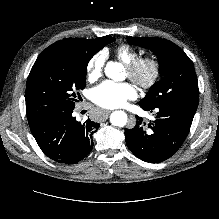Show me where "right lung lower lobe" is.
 I'll list each match as a JSON object with an SVG mask.
<instances>
[{"label":"right lung lower lobe","instance_id":"1","mask_svg":"<svg viewBox=\"0 0 219 219\" xmlns=\"http://www.w3.org/2000/svg\"><path fill=\"white\" fill-rule=\"evenodd\" d=\"M73 109L49 115L29 123L31 132L41 150L50 159L72 164L85 158L93 149L92 135L99 123L78 122Z\"/></svg>","mask_w":219,"mask_h":219}]
</instances>
